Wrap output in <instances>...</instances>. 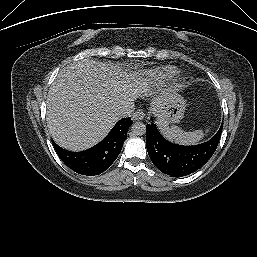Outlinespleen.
<instances>
[{
    "label": "spleen",
    "instance_id": "spleen-1",
    "mask_svg": "<svg viewBox=\"0 0 257 257\" xmlns=\"http://www.w3.org/2000/svg\"><path fill=\"white\" fill-rule=\"evenodd\" d=\"M162 134L170 141H175L180 144L190 145L199 142L203 136V130H195L192 132H185L178 126H172L171 128L167 124L159 125Z\"/></svg>",
    "mask_w": 257,
    "mask_h": 257
}]
</instances>
